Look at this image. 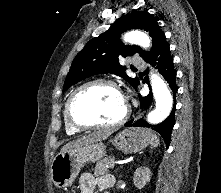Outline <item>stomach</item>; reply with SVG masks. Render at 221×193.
Segmentation results:
<instances>
[{
	"mask_svg": "<svg viewBox=\"0 0 221 193\" xmlns=\"http://www.w3.org/2000/svg\"><path fill=\"white\" fill-rule=\"evenodd\" d=\"M111 142L121 152H138L150 144L151 131L138 127L126 128L116 134ZM105 154L102 142L86 144L57 154L50 168L52 182L59 188L71 186L85 164L100 161Z\"/></svg>",
	"mask_w": 221,
	"mask_h": 193,
	"instance_id": "obj_1",
	"label": "stomach"
}]
</instances>
